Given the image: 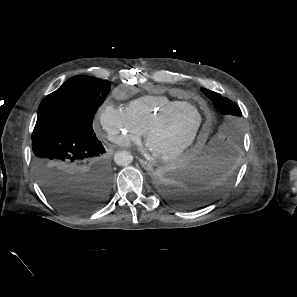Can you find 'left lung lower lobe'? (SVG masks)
<instances>
[{
  "instance_id": "obj_1",
  "label": "left lung lower lobe",
  "mask_w": 297,
  "mask_h": 297,
  "mask_svg": "<svg viewBox=\"0 0 297 297\" xmlns=\"http://www.w3.org/2000/svg\"><path fill=\"white\" fill-rule=\"evenodd\" d=\"M237 156V150H228L214 141L199 144L155 173L158 192L168 203L184 209L207 205L231 185Z\"/></svg>"
}]
</instances>
